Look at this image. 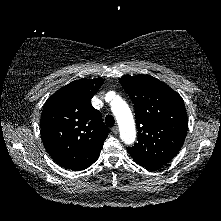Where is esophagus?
I'll return each instance as SVG.
<instances>
[{
  "mask_svg": "<svg viewBox=\"0 0 221 221\" xmlns=\"http://www.w3.org/2000/svg\"><path fill=\"white\" fill-rule=\"evenodd\" d=\"M112 132H113L115 135H117L118 132H119L118 126H114V127L112 128Z\"/></svg>",
  "mask_w": 221,
  "mask_h": 221,
  "instance_id": "1",
  "label": "esophagus"
}]
</instances>
